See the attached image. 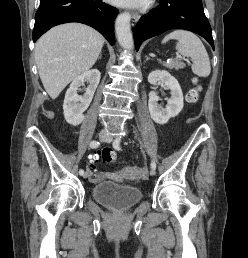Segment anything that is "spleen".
<instances>
[{
    "label": "spleen",
    "mask_w": 248,
    "mask_h": 258,
    "mask_svg": "<svg viewBox=\"0 0 248 258\" xmlns=\"http://www.w3.org/2000/svg\"><path fill=\"white\" fill-rule=\"evenodd\" d=\"M170 39L177 40L176 50L183 56L192 59V72L200 77L210 75L211 66L208 53L202 41L194 33L187 30H174L166 35L162 43Z\"/></svg>",
    "instance_id": "obj_1"
}]
</instances>
